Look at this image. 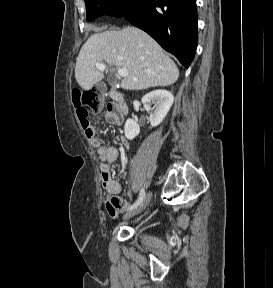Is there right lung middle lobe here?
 Wrapping results in <instances>:
<instances>
[{"label": "right lung middle lobe", "instance_id": "dd1d6c3e", "mask_svg": "<svg viewBox=\"0 0 273 288\" xmlns=\"http://www.w3.org/2000/svg\"><path fill=\"white\" fill-rule=\"evenodd\" d=\"M137 0H85L87 20L102 15L122 17L135 5Z\"/></svg>", "mask_w": 273, "mask_h": 288}]
</instances>
